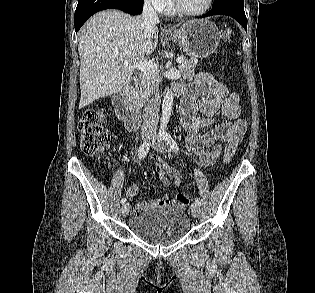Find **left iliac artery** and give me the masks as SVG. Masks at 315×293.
I'll return each instance as SVG.
<instances>
[{"label": "left iliac artery", "mask_w": 315, "mask_h": 293, "mask_svg": "<svg viewBox=\"0 0 315 293\" xmlns=\"http://www.w3.org/2000/svg\"><path fill=\"white\" fill-rule=\"evenodd\" d=\"M160 138L163 139L167 143V145L170 147L171 150H173L174 152L179 151V147H178L176 141L172 138V136L169 133H167V132L161 133ZM195 203L198 206H200L201 205L200 199L196 198Z\"/></svg>", "instance_id": "1"}]
</instances>
